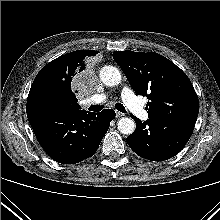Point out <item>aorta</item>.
I'll use <instances>...</instances> for the list:
<instances>
[{"mask_svg": "<svg viewBox=\"0 0 220 220\" xmlns=\"http://www.w3.org/2000/svg\"><path fill=\"white\" fill-rule=\"evenodd\" d=\"M99 77L106 86H116L121 82L120 71L111 65L101 68ZM135 122L131 118L123 117L118 121V130L125 135H130L135 131Z\"/></svg>", "mask_w": 220, "mask_h": 220, "instance_id": "aorta-1", "label": "aorta"}]
</instances>
